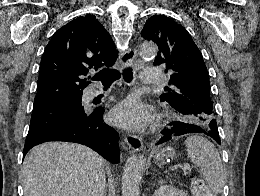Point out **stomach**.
<instances>
[{"mask_svg":"<svg viewBox=\"0 0 260 196\" xmlns=\"http://www.w3.org/2000/svg\"><path fill=\"white\" fill-rule=\"evenodd\" d=\"M176 156V152L174 148H163L160 152H157L155 156V162H157L158 166L160 164H168V162H172Z\"/></svg>","mask_w":260,"mask_h":196,"instance_id":"obj_1","label":"stomach"}]
</instances>
